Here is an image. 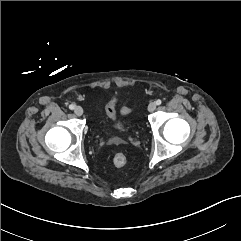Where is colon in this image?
Instances as JSON below:
<instances>
[{"label": "colon", "mask_w": 241, "mask_h": 241, "mask_svg": "<svg viewBox=\"0 0 241 241\" xmlns=\"http://www.w3.org/2000/svg\"><path fill=\"white\" fill-rule=\"evenodd\" d=\"M108 109L114 112L113 105H110ZM122 112L126 114L129 112V109H124ZM113 163L116 167H123L127 163V157L123 153H117L113 158Z\"/></svg>", "instance_id": "colon-1"}]
</instances>
